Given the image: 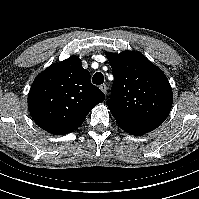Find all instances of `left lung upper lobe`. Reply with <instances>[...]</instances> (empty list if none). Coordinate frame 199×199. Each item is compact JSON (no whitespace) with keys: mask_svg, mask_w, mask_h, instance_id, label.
<instances>
[{"mask_svg":"<svg viewBox=\"0 0 199 199\" xmlns=\"http://www.w3.org/2000/svg\"><path fill=\"white\" fill-rule=\"evenodd\" d=\"M107 56L114 75L107 105L117 124L133 135L156 129L169 115L173 102L166 75L141 53Z\"/></svg>","mask_w":199,"mask_h":199,"instance_id":"obj_1","label":"left lung upper lobe"}]
</instances>
